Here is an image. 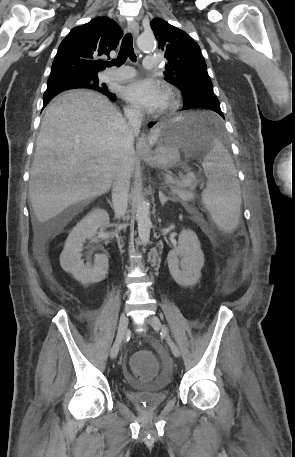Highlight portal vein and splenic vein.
<instances>
[{
	"instance_id": "1",
	"label": "portal vein and splenic vein",
	"mask_w": 295,
	"mask_h": 457,
	"mask_svg": "<svg viewBox=\"0 0 295 457\" xmlns=\"http://www.w3.org/2000/svg\"><path fill=\"white\" fill-rule=\"evenodd\" d=\"M194 181H196V176H195V174H194L193 172H191V171L188 172V173L186 174V176L184 177V179L181 180V181H179V180L176 181V180H173V179H171V178H170V179H167V183H169V184H176V185H187V184H189V183H191V182H194Z\"/></svg>"
}]
</instances>
